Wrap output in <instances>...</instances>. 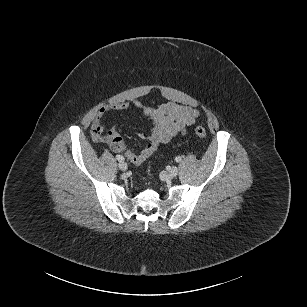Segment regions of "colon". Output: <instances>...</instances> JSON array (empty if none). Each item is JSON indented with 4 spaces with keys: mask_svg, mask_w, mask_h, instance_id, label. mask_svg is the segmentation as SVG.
Listing matches in <instances>:
<instances>
[{
    "mask_svg": "<svg viewBox=\"0 0 307 307\" xmlns=\"http://www.w3.org/2000/svg\"><path fill=\"white\" fill-rule=\"evenodd\" d=\"M195 134L199 138H205L207 136V131L204 127L197 126L195 128ZM108 141L110 143L111 148L114 151L119 152V151L123 150L124 147H125V144H124L122 137L119 134H117L116 132H114V133L112 132V133L109 134Z\"/></svg>",
    "mask_w": 307,
    "mask_h": 307,
    "instance_id": "5ec220e1",
    "label": "colon"
}]
</instances>
